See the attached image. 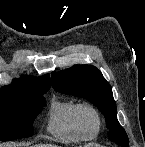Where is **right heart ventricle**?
Masks as SVG:
<instances>
[{"label": "right heart ventricle", "mask_w": 145, "mask_h": 147, "mask_svg": "<svg viewBox=\"0 0 145 147\" xmlns=\"http://www.w3.org/2000/svg\"><path fill=\"white\" fill-rule=\"evenodd\" d=\"M81 103L73 99L54 98L49 107L47 131L64 142L91 140L97 136L81 125L78 112Z\"/></svg>", "instance_id": "obj_1"}]
</instances>
